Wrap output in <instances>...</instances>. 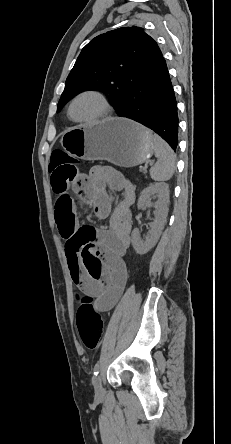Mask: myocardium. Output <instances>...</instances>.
I'll use <instances>...</instances> for the list:
<instances>
[{
  "mask_svg": "<svg viewBox=\"0 0 231 444\" xmlns=\"http://www.w3.org/2000/svg\"><path fill=\"white\" fill-rule=\"evenodd\" d=\"M84 95L96 96L101 101L103 109L97 116H95L93 118L76 119V118H74V116L72 114V108H73V105L76 102V100ZM111 112H112V106H111V103H110L108 97L103 92H101L97 89H86V90L79 92L78 94H76L73 97V99L71 100V102L69 103V106H68V115H69L70 119L76 123H84V124L96 123V122L106 119L111 114Z\"/></svg>",
  "mask_w": 231,
  "mask_h": 444,
  "instance_id": "myocardium-1",
  "label": "myocardium"
}]
</instances>
